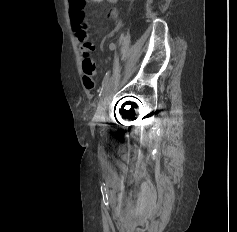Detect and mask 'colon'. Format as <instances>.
I'll use <instances>...</instances> for the list:
<instances>
[{
  "label": "colon",
  "mask_w": 237,
  "mask_h": 232,
  "mask_svg": "<svg viewBox=\"0 0 237 232\" xmlns=\"http://www.w3.org/2000/svg\"><path fill=\"white\" fill-rule=\"evenodd\" d=\"M70 3V16L73 28L77 35L81 37L87 36L88 24L85 15L86 0H69ZM113 15V12L109 13Z\"/></svg>",
  "instance_id": "colon-1"
}]
</instances>
